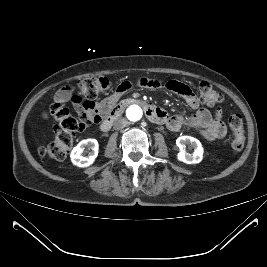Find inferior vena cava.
Instances as JSON below:
<instances>
[{"label":"inferior vena cava","mask_w":267,"mask_h":267,"mask_svg":"<svg viewBox=\"0 0 267 267\" xmlns=\"http://www.w3.org/2000/svg\"><path fill=\"white\" fill-rule=\"evenodd\" d=\"M127 125V120L125 118H118L113 123V128L115 130L123 129Z\"/></svg>","instance_id":"inferior-vena-cava-1"}]
</instances>
